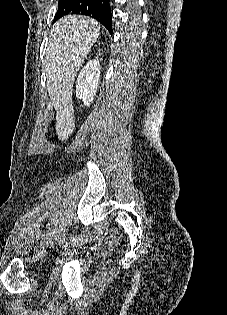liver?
<instances>
[{
	"label": "liver",
	"mask_w": 227,
	"mask_h": 315,
	"mask_svg": "<svg viewBox=\"0 0 227 315\" xmlns=\"http://www.w3.org/2000/svg\"><path fill=\"white\" fill-rule=\"evenodd\" d=\"M100 23L81 16L59 19L51 30L45 59L47 90L56 114V131L61 140L74 129L72 90L82 63L98 39Z\"/></svg>",
	"instance_id": "liver-1"
}]
</instances>
